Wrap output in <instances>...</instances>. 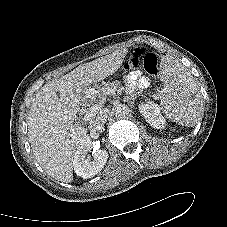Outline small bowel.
<instances>
[{"label":"small bowel","instance_id":"c3829d8e","mask_svg":"<svg viewBox=\"0 0 227 227\" xmlns=\"http://www.w3.org/2000/svg\"><path fill=\"white\" fill-rule=\"evenodd\" d=\"M149 79L142 76L140 72L135 71L127 75L126 87L129 92H133L137 88H144L148 86Z\"/></svg>","mask_w":227,"mask_h":227}]
</instances>
